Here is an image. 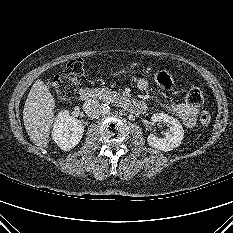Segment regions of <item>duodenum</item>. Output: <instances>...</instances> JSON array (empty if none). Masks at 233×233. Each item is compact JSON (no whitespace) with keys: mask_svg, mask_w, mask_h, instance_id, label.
<instances>
[{"mask_svg":"<svg viewBox=\"0 0 233 233\" xmlns=\"http://www.w3.org/2000/svg\"><path fill=\"white\" fill-rule=\"evenodd\" d=\"M97 96H98L97 91L94 89H91V88H84L79 93L80 99L84 102H91V101L95 100L97 98ZM120 104L124 109H126L132 113H139L143 110L142 104H140L134 100L122 99Z\"/></svg>","mask_w":233,"mask_h":233,"instance_id":"1","label":"duodenum"}]
</instances>
